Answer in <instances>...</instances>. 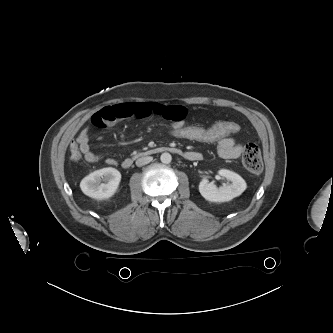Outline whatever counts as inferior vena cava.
Segmentation results:
<instances>
[{"instance_id": "inferior-vena-cava-1", "label": "inferior vena cava", "mask_w": 333, "mask_h": 333, "mask_svg": "<svg viewBox=\"0 0 333 333\" xmlns=\"http://www.w3.org/2000/svg\"><path fill=\"white\" fill-rule=\"evenodd\" d=\"M151 161H152V157H150V156L141 157V158L136 160V165L138 167H141V166H144V165L148 164Z\"/></svg>"}]
</instances>
